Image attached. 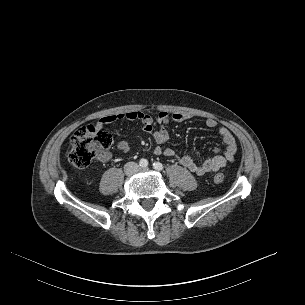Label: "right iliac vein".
Masks as SVG:
<instances>
[{"label":"right iliac vein","instance_id":"63e3f726","mask_svg":"<svg viewBox=\"0 0 305 305\" xmlns=\"http://www.w3.org/2000/svg\"><path fill=\"white\" fill-rule=\"evenodd\" d=\"M135 171V166L131 165L129 168H128V173H133Z\"/></svg>","mask_w":305,"mask_h":305}]
</instances>
